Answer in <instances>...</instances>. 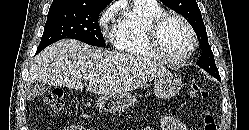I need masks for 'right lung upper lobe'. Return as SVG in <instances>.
Returning a JSON list of instances; mask_svg holds the SVG:
<instances>
[{
    "mask_svg": "<svg viewBox=\"0 0 249 130\" xmlns=\"http://www.w3.org/2000/svg\"><path fill=\"white\" fill-rule=\"evenodd\" d=\"M112 0H53L51 5L55 4H71V5H78V6H87V7H94V6H107Z\"/></svg>",
    "mask_w": 249,
    "mask_h": 130,
    "instance_id": "obj_1",
    "label": "right lung upper lobe"
}]
</instances>
